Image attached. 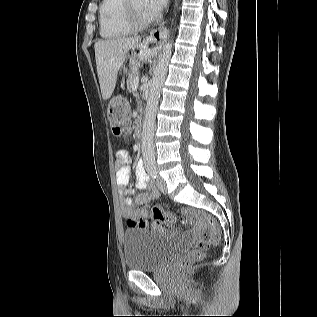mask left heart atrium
<instances>
[{
  "label": "left heart atrium",
  "instance_id": "left-heart-atrium-1",
  "mask_svg": "<svg viewBox=\"0 0 317 317\" xmlns=\"http://www.w3.org/2000/svg\"><path fill=\"white\" fill-rule=\"evenodd\" d=\"M167 0H144L145 11L149 19H154L166 5Z\"/></svg>",
  "mask_w": 317,
  "mask_h": 317
}]
</instances>
